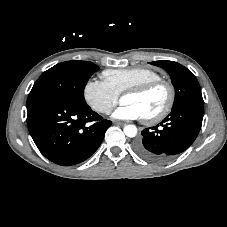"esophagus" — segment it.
Wrapping results in <instances>:
<instances>
[{
  "label": "esophagus",
  "mask_w": 227,
  "mask_h": 227,
  "mask_svg": "<svg viewBox=\"0 0 227 227\" xmlns=\"http://www.w3.org/2000/svg\"><path fill=\"white\" fill-rule=\"evenodd\" d=\"M114 124H115V125H120V126L125 125L124 122H120V121H114Z\"/></svg>",
  "instance_id": "1"
}]
</instances>
